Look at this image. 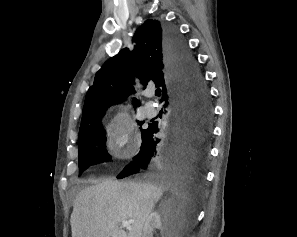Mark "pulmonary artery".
I'll return each mask as SVG.
<instances>
[{
  "mask_svg": "<svg viewBox=\"0 0 297 237\" xmlns=\"http://www.w3.org/2000/svg\"><path fill=\"white\" fill-rule=\"evenodd\" d=\"M145 111L148 116H154L157 113V107L152 103L148 102L145 104Z\"/></svg>",
  "mask_w": 297,
  "mask_h": 237,
  "instance_id": "e3ab8cb5",
  "label": "pulmonary artery"
}]
</instances>
